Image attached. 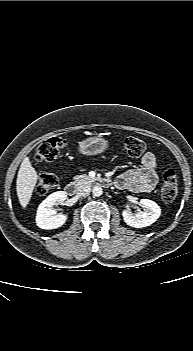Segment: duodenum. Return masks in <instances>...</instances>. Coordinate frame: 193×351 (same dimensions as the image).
Masks as SVG:
<instances>
[{"mask_svg":"<svg viewBox=\"0 0 193 351\" xmlns=\"http://www.w3.org/2000/svg\"><path fill=\"white\" fill-rule=\"evenodd\" d=\"M99 182L104 186H108L110 184V180L106 178L101 179ZM66 192L70 196L76 195V193L78 192L76 184L74 182L68 183L66 185Z\"/></svg>","mask_w":193,"mask_h":351,"instance_id":"obj_1","label":"duodenum"}]
</instances>
